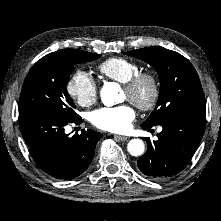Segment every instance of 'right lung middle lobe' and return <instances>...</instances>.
I'll return each mask as SVG.
<instances>
[{
  "label": "right lung middle lobe",
  "mask_w": 221,
  "mask_h": 221,
  "mask_svg": "<svg viewBox=\"0 0 221 221\" xmlns=\"http://www.w3.org/2000/svg\"><path fill=\"white\" fill-rule=\"evenodd\" d=\"M100 56L87 51L65 49L41 58L31 67L23 83L19 112L41 109L67 120L80 119L67 92L69 75L75 63L92 61Z\"/></svg>",
  "instance_id": "right-lung-middle-lobe-1"
}]
</instances>
